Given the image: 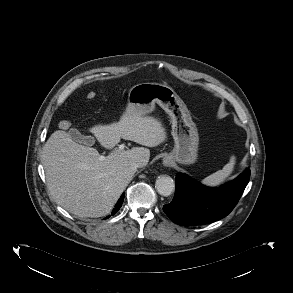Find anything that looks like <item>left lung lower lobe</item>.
Listing matches in <instances>:
<instances>
[{
    "label": "left lung lower lobe",
    "instance_id": "0a47b994",
    "mask_svg": "<svg viewBox=\"0 0 293 293\" xmlns=\"http://www.w3.org/2000/svg\"><path fill=\"white\" fill-rule=\"evenodd\" d=\"M249 178L250 170L247 169L235 180L219 188H209L178 173L175 196L163 210L179 225H203L220 220L233 210Z\"/></svg>",
    "mask_w": 293,
    "mask_h": 293
}]
</instances>
